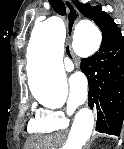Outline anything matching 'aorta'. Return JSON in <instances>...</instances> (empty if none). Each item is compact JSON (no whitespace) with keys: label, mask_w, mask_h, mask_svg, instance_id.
<instances>
[{"label":"aorta","mask_w":124,"mask_h":149,"mask_svg":"<svg viewBox=\"0 0 124 149\" xmlns=\"http://www.w3.org/2000/svg\"><path fill=\"white\" fill-rule=\"evenodd\" d=\"M65 27L62 19L53 16L35 25L28 46L29 86L35 99L42 104L64 100L67 80L63 68ZM101 32L90 20H81L75 27L73 49L80 55L97 51ZM94 115L89 108L81 109L74 119L65 149H82L90 138Z\"/></svg>","instance_id":"1"}]
</instances>
